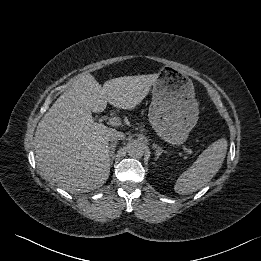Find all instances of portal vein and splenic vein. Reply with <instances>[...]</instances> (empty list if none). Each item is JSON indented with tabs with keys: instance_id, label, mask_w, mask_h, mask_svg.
<instances>
[{
	"instance_id": "portal-vein-and-splenic-vein-1",
	"label": "portal vein and splenic vein",
	"mask_w": 261,
	"mask_h": 261,
	"mask_svg": "<svg viewBox=\"0 0 261 261\" xmlns=\"http://www.w3.org/2000/svg\"><path fill=\"white\" fill-rule=\"evenodd\" d=\"M109 124L112 125V126H120L122 123H121V119H119L118 117H114V118H110ZM183 150L187 154L193 153L192 149H190V148L183 147Z\"/></svg>"
}]
</instances>
